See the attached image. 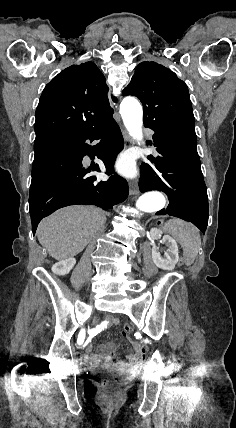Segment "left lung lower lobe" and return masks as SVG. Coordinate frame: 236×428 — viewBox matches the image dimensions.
Here are the masks:
<instances>
[{"instance_id":"obj_1","label":"left lung lower lobe","mask_w":236,"mask_h":428,"mask_svg":"<svg viewBox=\"0 0 236 428\" xmlns=\"http://www.w3.org/2000/svg\"><path fill=\"white\" fill-rule=\"evenodd\" d=\"M153 131L159 156L155 159L154 169L145 163L141 165L140 191L164 192L170 204L156 215L181 218L205 232L209 218L208 196L197 150L179 143L163 131Z\"/></svg>"}]
</instances>
